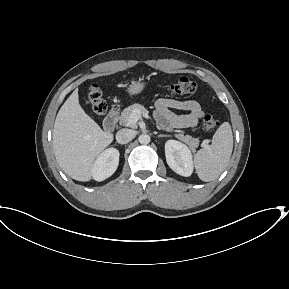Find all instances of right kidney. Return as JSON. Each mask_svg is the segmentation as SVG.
I'll list each match as a JSON object with an SVG mask.
<instances>
[{"mask_svg":"<svg viewBox=\"0 0 289 289\" xmlns=\"http://www.w3.org/2000/svg\"><path fill=\"white\" fill-rule=\"evenodd\" d=\"M119 155V151L115 148L101 152L92 167L93 179L100 182L109 178L118 167Z\"/></svg>","mask_w":289,"mask_h":289,"instance_id":"1","label":"right kidney"}]
</instances>
